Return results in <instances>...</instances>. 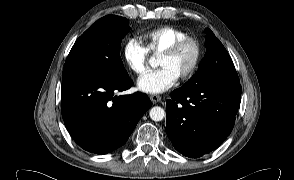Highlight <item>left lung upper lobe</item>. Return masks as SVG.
Instances as JSON below:
<instances>
[{
	"label": "left lung upper lobe",
	"instance_id": "obj_1",
	"mask_svg": "<svg viewBox=\"0 0 294 180\" xmlns=\"http://www.w3.org/2000/svg\"><path fill=\"white\" fill-rule=\"evenodd\" d=\"M207 51L197 73L182 88H199L211 84H240L230 55L208 28L206 30Z\"/></svg>",
	"mask_w": 294,
	"mask_h": 180
}]
</instances>
